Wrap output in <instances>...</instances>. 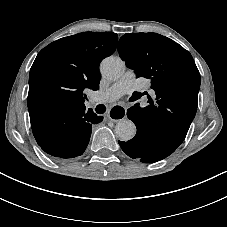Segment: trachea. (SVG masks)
Here are the masks:
<instances>
[{
    "mask_svg": "<svg viewBox=\"0 0 227 227\" xmlns=\"http://www.w3.org/2000/svg\"><path fill=\"white\" fill-rule=\"evenodd\" d=\"M134 98H137V95L134 93L133 96L130 98V101H134ZM106 111V107L104 104H99L96 106V112L98 114H103Z\"/></svg>",
    "mask_w": 227,
    "mask_h": 227,
    "instance_id": "1",
    "label": "trachea"
}]
</instances>
